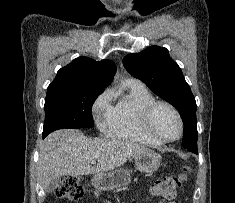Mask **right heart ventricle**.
Segmentation results:
<instances>
[{
	"label": "right heart ventricle",
	"instance_id": "obj_1",
	"mask_svg": "<svg viewBox=\"0 0 235 203\" xmlns=\"http://www.w3.org/2000/svg\"><path fill=\"white\" fill-rule=\"evenodd\" d=\"M112 97L116 101L105 124L108 135L145 145H158L144 132L141 124L144 108L156 101L151 92L142 83L129 80L118 91L111 92Z\"/></svg>",
	"mask_w": 235,
	"mask_h": 203
}]
</instances>
